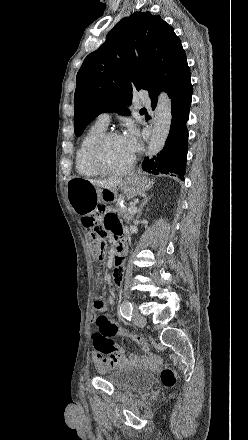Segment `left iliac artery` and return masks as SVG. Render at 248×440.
Instances as JSON below:
<instances>
[{"label": "left iliac artery", "instance_id": "1", "mask_svg": "<svg viewBox=\"0 0 248 440\" xmlns=\"http://www.w3.org/2000/svg\"><path fill=\"white\" fill-rule=\"evenodd\" d=\"M132 312H133V306H132V304H131L130 302H128V301H124V302L121 304V307H120V313H121V315H122L124 318L130 320L131 317H132Z\"/></svg>", "mask_w": 248, "mask_h": 440}]
</instances>
